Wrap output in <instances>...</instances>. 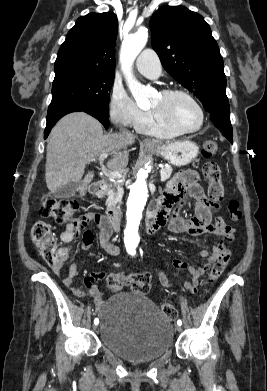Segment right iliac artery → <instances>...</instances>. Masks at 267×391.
Wrapping results in <instances>:
<instances>
[{
    "label": "right iliac artery",
    "mask_w": 267,
    "mask_h": 391,
    "mask_svg": "<svg viewBox=\"0 0 267 391\" xmlns=\"http://www.w3.org/2000/svg\"><path fill=\"white\" fill-rule=\"evenodd\" d=\"M98 322H99L98 319L94 320V324H98Z\"/></svg>",
    "instance_id": "obj_1"
}]
</instances>
